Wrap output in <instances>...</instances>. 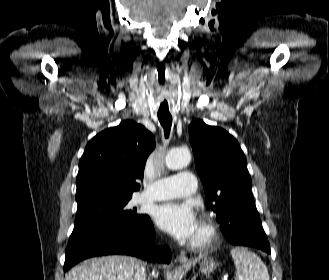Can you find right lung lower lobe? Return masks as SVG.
<instances>
[{"label":"right lung lower lobe","mask_w":329,"mask_h":280,"mask_svg":"<svg viewBox=\"0 0 329 280\" xmlns=\"http://www.w3.org/2000/svg\"><path fill=\"white\" fill-rule=\"evenodd\" d=\"M154 238L151 220L138 230L105 221L88 224L72 232L65 252L64 272L84 259L110 254L169 263L170 249L167 246H155Z\"/></svg>","instance_id":"obj_1"}]
</instances>
